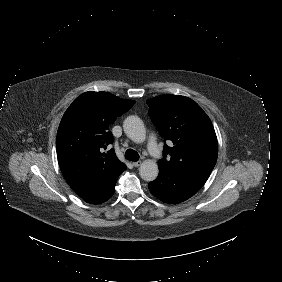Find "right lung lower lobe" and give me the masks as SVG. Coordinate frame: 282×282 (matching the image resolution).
<instances>
[{"instance_id":"right-lung-lower-lobe-1","label":"right lung lower lobe","mask_w":282,"mask_h":282,"mask_svg":"<svg viewBox=\"0 0 282 282\" xmlns=\"http://www.w3.org/2000/svg\"><path fill=\"white\" fill-rule=\"evenodd\" d=\"M118 177H113L107 183L100 184L98 189L84 200L90 204H101L107 201L115 192L114 187Z\"/></svg>"}]
</instances>
